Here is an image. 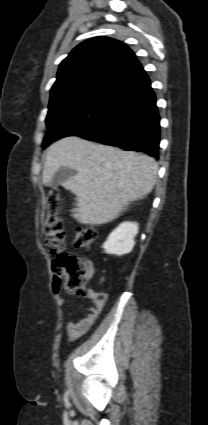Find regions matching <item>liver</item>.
Masks as SVG:
<instances>
[{"label":"liver","instance_id":"obj_1","mask_svg":"<svg viewBox=\"0 0 208 425\" xmlns=\"http://www.w3.org/2000/svg\"><path fill=\"white\" fill-rule=\"evenodd\" d=\"M62 167L77 171L63 187L76 195L72 217L86 225L110 222L130 202L145 198L156 183L158 171L152 157L74 136L49 147L42 182L48 183Z\"/></svg>","mask_w":208,"mask_h":425}]
</instances>
